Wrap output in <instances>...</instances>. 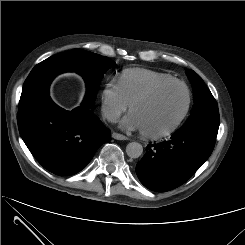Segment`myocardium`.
I'll use <instances>...</instances> for the list:
<instances>
[{
  "label": "myocardium",
  "instance_id": "1",
  "mask_svg": "<svg viewBox=\"0 0 245 245\" xmlns=\"http://www.w3.org/2000/svg\"><path fill=\"white\" fill-rule=\"evenodd\" d=\"M171 85H179L185 89L186 97H187L185 108H184L183 112L181 113V115L179 116V118L177 119V121L170 128H168L164 131L158 132V133H150V132H146V131L141 130L142 135L148 139L159 140V139L167 138V137L171 136L173 133H175L178 130V128L182 125V123L184 122V120L186 119V117L190 111L191 104H192V93H191L189 86L186 83H184L183 81H180L177 79L164 81V82H161V83L154 85L149 90H147L145 93L134 98L129 104V111L131 112L132 109L136 105L150 100L160 90H162L165 87L171 86Z\"/></svg>",
  "mask_w": 245,
  "mask_h": 245
}]
</instances>
